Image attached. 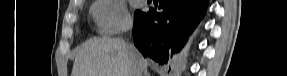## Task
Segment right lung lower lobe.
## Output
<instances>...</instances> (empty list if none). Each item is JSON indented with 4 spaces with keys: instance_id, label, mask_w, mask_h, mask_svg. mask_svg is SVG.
Wrapping results in <instances>:
<instances>
[{
    "instance_id": "98d812e1",
    "label": "right lung lower lobe",
    "mask_w": 287,
    "mask_h": 76,
    "mask_svg": "<svg viewBox=\"0 0 287 76\" xmlns=\"http://www.w3.org/2000/svg\"><path fill=\"white\" fill-rule=\"evenodd\" d=\"M208 0H160L161 13L149 10L134 17V44L144 57L167 63L186 43L205 13Z\"/></svg>"
}]
</instances>
